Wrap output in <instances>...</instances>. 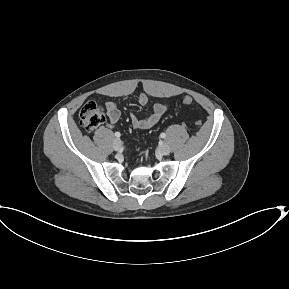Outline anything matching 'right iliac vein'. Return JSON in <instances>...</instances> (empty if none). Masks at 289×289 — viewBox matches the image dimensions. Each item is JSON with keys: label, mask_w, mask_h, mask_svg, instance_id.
<instances>
[{"label": "right iliac vein", "mask_w": 289, "mask_h": 289, "mask_svg": "<svg viewBox=\"0 0 289 289\" xmlns=\"http://www.w3.org/2000/svg\"><path fill=\"white\" fill-rule=\"evenodd\" d=\"M122 147V142L120 139H115L114 142H113V148L116 150V151H119Z\"/></svg>", "instance_id": "right-iliac-vein-1"}]
</instances>
